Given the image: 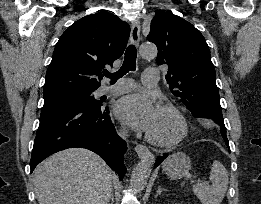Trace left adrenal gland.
Returning <instances> with one entry per match:
<instances>
[{
	"label": "left adrenal gland",
	"instance_id": "a2214340",
	"mask_svg": "<svg viewBox=\"0 0 261 204\" xmlns=\"http://www.w3.org/2000/svg\"><path fill=\"white\" fill-rule=\"evenodd\" d=\"M164 191H167L166 189H163L161 186H159L158 187V190H157V193H156V197L158 196V195H160L162 192H164Z\"/></svg>",
	"mask_w": 261,
	"mask_h": 204
}]
</instances>
